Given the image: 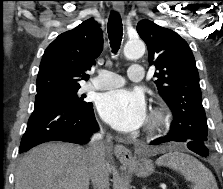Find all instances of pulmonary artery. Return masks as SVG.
Returning <instances> with one entry per match:
<instances>
[{"instance_id":"e3ab8cb5","label":"pulmonary artery","mask_w":223,"mask_h":189,"mask_svg":"<svg viewBox=\"0 0 223 189\" xmlns=\"http://www.w3.org/2000/svg\"><path fill=\"white\" fill-rule=\"evenodd\" d=\"M144 70L141 65L133 64L128 69V80L133 83L141 82L144 79ZM125 79L108 70H99L97 77L87 84V88L94 90H107L124 85Z\"/></svg>"}]
</instances>
